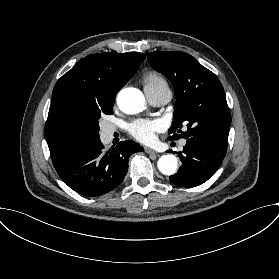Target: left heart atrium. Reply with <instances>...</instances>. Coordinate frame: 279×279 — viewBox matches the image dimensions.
<instances>
[{
	"label": "left heart atrium",
	"mask_w": 279,
	"mask_h": 279,
	"mask_svg": "<svg viewBox=\"0 0 279 279\" xmlns=\"http://www.w3.org/2000/svg\"><path fill=\"white\" fill-rule=\"evenodd\" d=\"M161 124L157 120L138 119L128 124V133L143 143L152 141Z\"/></svg>",
	"instance_id": "39dd6f15"
}]
</instances>
